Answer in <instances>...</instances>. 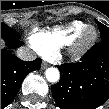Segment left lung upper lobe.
Wrapping results in <instances>:
<instances>
[{
  "label": "left lung upper lobe",
  "instance_id": "obj_1",
  "mask_svg": "<svg viewBox=\"0 0 109 109\" xmlns=\"http://www.w3.org/2000/svg\"><path fill=\"white\" fill-rule=\"evenodd\" d=\"M98 28L101 33V39L102 41H108L109 40V28L105 26L104 24L100 23L99 21L95 20Z\"/></svg>",
  "mask_w": 109,
  "mask_h": 109
}]
</instances>
